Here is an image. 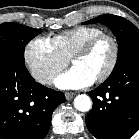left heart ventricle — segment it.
I'll list each match as a JSON object with an SVG mask.
<instances>
[{"label":"left heart ventricle","mask_w":139,"mask_h":139,"mask_svg":"<svg viewBox=\"0 0 139 139\" xmlns=\"http://www.w3.org/2000/svg\"><path fill=\"white\" fill-rule=\"evenodd\" d=\"M112 56V46L108 40L99 42L89 53L77 57L73 65L82 68L96 79L108 66Z\"/></svg>","instance_id":"left-heart-ventricle-1"}]
</instances>
